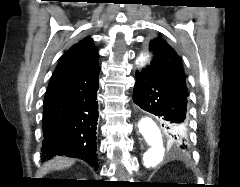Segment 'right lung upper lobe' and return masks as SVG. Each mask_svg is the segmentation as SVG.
<instances>
[{
	"label": "right lung upper lobe",
	"mask_w": 240,
	"mask_h": 187,
	"mask_svg": "<svg viewBox=\"0 0 240 187\" xmlns=\"http://www.w3.org/2000/svg\"><path fill=\"white\" fill-rule=\"evenodd\" d=\"M97 58L98 51L92 45L90 37L74 44L59 60L48 88L54 87L69 78L85 75L99 68Z\"/></svg>",
	"instance_id": "obj_1"
}]
</instances>
